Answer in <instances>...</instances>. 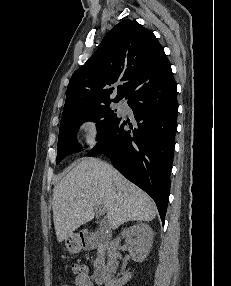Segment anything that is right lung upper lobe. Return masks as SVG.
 <instances>
[{"label": "right lung upper lobe", "mask_w": 231, "mask_h": 286, "mask_svg": "<svg viewBox=\"0 0 231 286\" xmlns=\"http://www.w3.org/2000/svg\"><path fill=\"white\" fill-rule=\"evenodd\" d=\"M170 72V63L155 35L135 20H123L72 75L62 116L109 102L114 95L112 101H119L134 84ZM116 82L122 85L117 90L110 88Z\"/></svg>", "instance_id": "1"}]
</instances>
